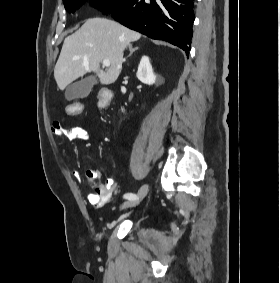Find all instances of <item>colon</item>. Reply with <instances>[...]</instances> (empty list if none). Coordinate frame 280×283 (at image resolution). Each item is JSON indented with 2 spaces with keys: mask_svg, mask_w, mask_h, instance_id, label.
Returning <instances> with one entry per match:
<instances>
[{
  "mask_svg": "<svg viewBox=\"0 0 280 283\" xmlns=\"http://www.w3.org/2000/svg\"><path fill=\"white\" fill-rule=\"evenodd\" d=\"M98 92L100 93V101L102 104H106L112 98L111 92L108 91L107 87H98ZM83 99H76L75 103H67L65 108L66 116H82L83 115Z\"/></svg>",
  "mask_w": 280,
  "mask_h": 283,
  "instance_id": "5ec220e1",
  "label": "colon"
}]
</instances>
